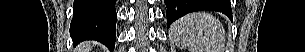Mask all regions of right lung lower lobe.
<instances>
[{
    "label": "right lung lower lobe",
    "mask_w": 305,
    "mask_h": 52,
    "mask_svg": "<svg viewBox=\"0 0 305 52\" xmlns=\"http://www.w3.org/2000/svg\"><path fill=\"white\" fill-rule=\"evenodd\" d=\"M116 0H74L70 35L74 44L97 40L111 51L116 40Z\"/></svg>",
    "instance_id": "right-lung-lower-lobe-1"
}]
</instances>
